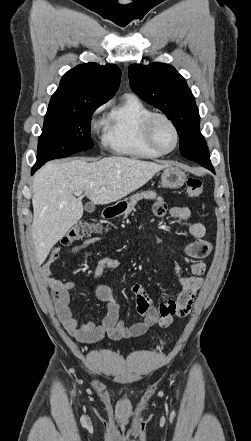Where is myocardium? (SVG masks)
I'll return each instance as SVG.
<instances>
[{"label":"myocardium","instance_id":"f54148a6","mask_svg":"<svg viewBox=\"0 0 251 441\" xmlns=\"http://www.w3.org/2000/svg\"><path fill=\"white\" fill-rule=\"evenodd\" d=\"M163 120L165 121L173 130L175 135V144L170 150H163L158 146V144L155 141L154 137V129L157 121ZM144 137L146 140V143L150 148H152L154 151L159 153L160 155H166L171 152H173L179 145L180 142V134L179 130L174 123V121L165 113H152L145 121L144 123Z\"/></svg>","mask_w":251,"mask_h":441}]
</instances>
